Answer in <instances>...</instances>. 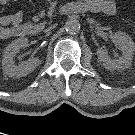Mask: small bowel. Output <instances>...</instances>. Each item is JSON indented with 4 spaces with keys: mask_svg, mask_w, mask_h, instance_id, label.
I'll list each match as a JSON object with an SVG mask.
<instances>
[{
    "mask_svg": "<svg viewBox=\"0 0 135 135\" xmlns=\"http://www.w3.org/2000/svg\"><path fill=\"white\" fill-rule=\"evenodd\" d=\"M11 0H0V4H7ZM86 8L93 13L114 15L116 6L114 0H85ZM23 14L20 11L9 16L0 17V39H8L15 35L22 34Z\"/></svg>",
    "mask_w": 135,
    "mask_h": 135,
    "instance_id": "c3829d8e",
    "label": "small bowel"
}]
</instances>
